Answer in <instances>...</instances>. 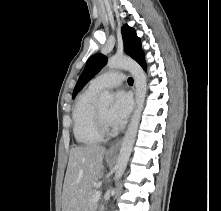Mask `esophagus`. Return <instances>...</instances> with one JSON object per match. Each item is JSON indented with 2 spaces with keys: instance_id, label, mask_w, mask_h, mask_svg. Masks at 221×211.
Here are the masks:
<instances>
[{
  "instance_id": "esophagus-1",
  "label": "esophagus",
  "mask_w": 221,
  "mask_h": 211,
  "mask_svg": "<svg viewBox=\"0 0 221 211\" xmlns=\"http://www.w3.org/2000/svg\"><path fill=\"white\" fill-rule=\"evenodd\" d=\"M120 144H121V139L117 140L108 150V153L109 154H115L117 153L119 147H120Z\"/></svg>"
}]
</instances>
